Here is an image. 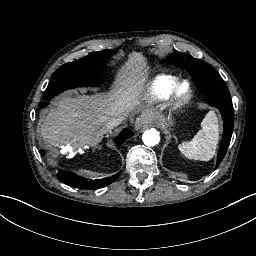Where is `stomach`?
Returning <instances> with one entry per match:
<instances>
[{"label": "stomach", "mask_w": 256, "mask_h": 256, "mask_svg": "<svg viewBox=\"0 0 256 256\" xmlns=\"http://www.w3.org/2000/svg\"><path fill=\"white\" fill-rule=\"evenodd\" d=\"M158 118L154 121L159 122L165 129H169L174 125V119L171 115L168 117L165 115H156ZM150 122H153V120H150Z\"/></svg>", "instance_id": "1"}]
</instances>
